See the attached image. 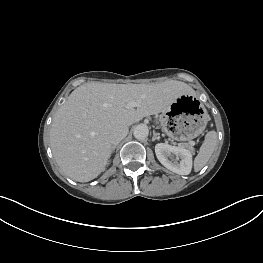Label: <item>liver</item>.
I'll list each match as a JSON object with an SVG mask.
<instances>
[{
  "label": "liver",
  "instance_id": "1",
  "mask_svg": "<svg viewBox=\"0 0 263 263\" xmlns=\"http://www.w3.org/2000/svg\"><path fill=\"white\" fill-rule=\"evenodd\" d=\"M193 93L187 84L167 80L153 84L90 82L77 87L57 110L50 130L53 156L71 179L88 182L108 165L110 135L144 117L165 111L178 97ZM136 108H128L129 102Z\"/></svg>",
  "mask_w": 263,
  "mask_h": 263
}]
</instances>
